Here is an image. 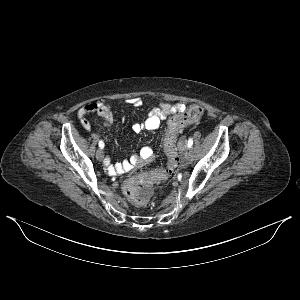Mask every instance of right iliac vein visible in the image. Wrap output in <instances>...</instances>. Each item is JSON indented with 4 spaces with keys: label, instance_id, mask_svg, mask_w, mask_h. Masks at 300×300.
Wrapping results in <instances>:
<instances>
[{
    "label": "right iliac vein",
    "instance_id": "right-iliac-vein-1",
    "mask_svg": "<svg viewBox=\"0 0 300 300\" xmlns=\"http://www.w3.org/2000/svg\"><path fill=\"white\" fill-rule=\"evenodd\" d=\"M96 158L100 161L104 158V152L102 149H98L96 151Z\"/></svg>",
    "mask_w": 300,
    "mask_h": 300
}]
</instances>
